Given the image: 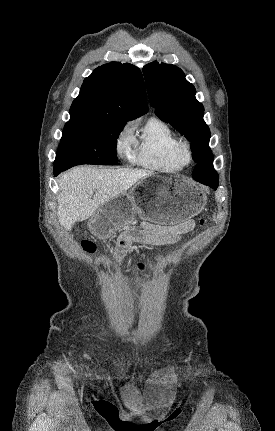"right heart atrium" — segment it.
<instances>
[{"mask_svg": "<svg viewBox=\"0 0 275 431\" xmlns=\"http://www.w3.org/2000/svg\"><path fill=\"white\" fill-rule=\"evenodd\" d=\"M134 143V136L131 127L124 128L117 138V149L120 153L129 151L131 145Z\"/></svg>", "mask_w": 275, "mask_h": 431, "instance_id": "obj_1", "label": "right heart atrium"}]
</instances>
